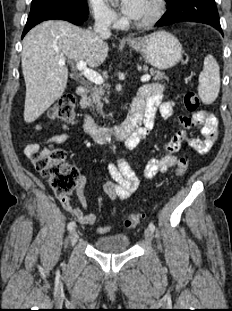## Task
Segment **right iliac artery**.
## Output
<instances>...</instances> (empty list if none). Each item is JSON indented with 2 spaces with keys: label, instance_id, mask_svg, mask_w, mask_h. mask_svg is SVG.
I'll return each instance as SVG.
<instances>
[{
  "label": "right iliac artery",
  "instance_id": "1",
  "mask_svg": "<svg viewBox=\"0 0 232 311\" xmlns=\"http://www.w3.org/2000/svg\"><path fill=\"white\" fill-rule=\"evenodd\" d=\"M75 222L74 221H72V222H70L69 224H68V229L69 230H71V229H73L74 227H75Z\"/></svg>",
  "mask_w": 232,
  "mask_h": 311
}]
</instances>
